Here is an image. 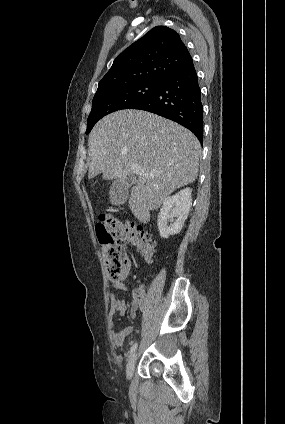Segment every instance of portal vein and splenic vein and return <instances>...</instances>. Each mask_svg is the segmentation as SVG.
<instances>
[{
	"mask_svg": "<svg viewBox=\"0 0 285 424\" xmlns=\"http://www.w3.org/2000/svg\"><path fill=\"white\" fill-rule=\"evenodd\" d=\"M131 172L136 174V175H139V176H148V174H145L144 170L141 169V167L138 166V165H132L131 166ZM151 176H152V174H151Z\"/></svg>",
	"mask_w": 285,
	"mask_h": 424,
	"instance_id": "obj_1",
	"label": "portal vein and splenic vein"
}]
</instances>
